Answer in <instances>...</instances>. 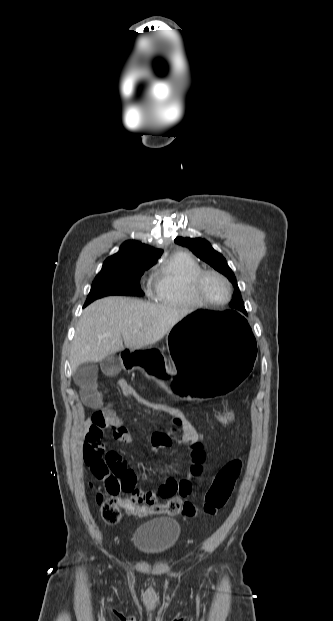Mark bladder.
<instances>
[{"label":"bladder","instance_id":"bladder-1","mask_svg":"<svg viewBox=\"0 0 333 621\" xmlns=\"http://www.w3.org/2000/svg\"><path fill=\"white\" fill-rule=\"evenodd\" d=\"M180 536L181 526L177 520L159 517L139 526L133 534V543L140 553L159 556L173 550Z\"/></svg>","mask_w":333,"mask_h":621}]
</instances>
